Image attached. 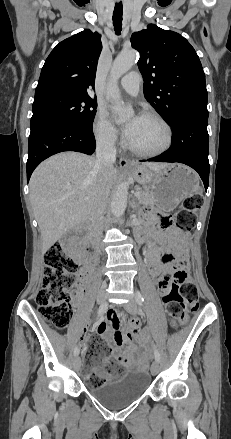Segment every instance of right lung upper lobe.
Masks as SVG:
<instances>
[{
    "instance_id": "1",
    "label": "right lung upper lobe",
    "mask_w": 231,
    "mask_h": 439,
    "mask_svg": "<svg viewBox=\"0 0 231 439\" xmlns=\"http://www.w3.org/2000/svg\"><path fill=\"white\" fill-rule=\"evenodd\" d=\"M101 50V36L88 29L61 41L44 63L35 99L57 93L89 96Z\"/></svg>"
}]
</instances>
